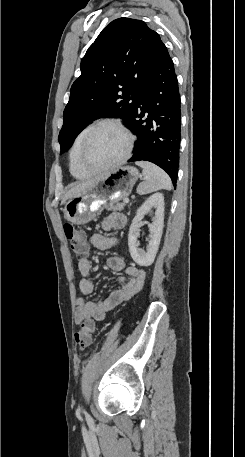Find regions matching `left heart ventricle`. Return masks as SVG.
<instances>
[{"instance_id":"obj_1","label":"left heart ventricle","mask_w":245,"mask_h":457,"mask_svg":"<svg viewBox=\"0 0 245 457\" xmlns=\"http://www.w3.org/2000/svg\"><path fill=\"white\" fill-rule=\"evenodd\" d=\"M126 139L119 132L106 128L91 140L84 153V161L91 169H100L113 163L125 150Z\"/></svg>"}]
</instances>
